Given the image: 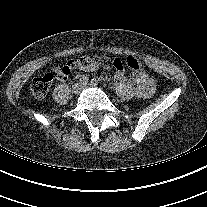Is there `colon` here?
Returning a JSON list of instances; mask_svg holds the SVG:
<instances>
[{
  "instance_id": "obj_1",
  "label": "colon",
  "mask_w": 207,
  "mask_h": 207,
  "mask_svg": "<svg viewBox=\"0 0 207 207\" xmlns=\"http://www.w3.org/2000/svg\"><path fill=\"white\" fill-rule=\"evenodd\" d=\"M110 61L111 60L107 57L88 55L68 61L66 65L60 68V70L62 72H70V69L78 68L80 65L85 63L99 62L101 65H107L110 63ZM125 64L133 73H141L146 70L145 63L141 59L134 56L126 57ZM53 80L54 74L50 72L35 76L30 83V91L33 97L38 100L45 98L52 85Z\"/></svg>"
}]
</instances>
